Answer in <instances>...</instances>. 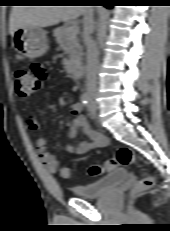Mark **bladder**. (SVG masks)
Segmentation results:
<instances>
[{
  "mask_svg": "<svg viewBox=\"0 0 170 231\" xmlns=\"http://www.w3.org/2000/svg\"><path fill=\"white\" fill-rule=\"evenodd\" d=\"M127 179L128 172L123 168H119L95 182L72 187V192L81 198H98L110 193L114 188L126 182Z\"/></svg>",
  "mask_w": 170,
  "mask_h": 231,
  "instance_id": "1",
  "label": "bladder"
}]
</instances>
